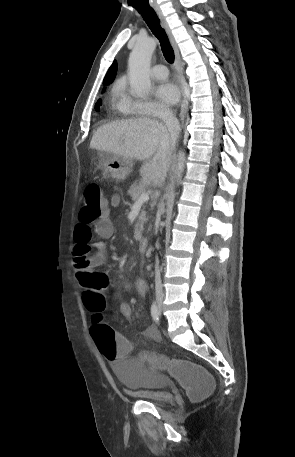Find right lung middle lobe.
I'll use <instances>...</instances> for the list:
<instances>
[{"label": "right lung middle lobe", "instance_id": "obj_1", "mask_svg": "<svg viewBox=\"0 0 295 457\" xmlns=\"http://www.w3.org/2000/svg\"><path fill=\"white\" fill-rule=\"evenodd\" d=\"M100 105H101V100H99L95 105V108H96L97 111H99Z\"/></svg>", "mask_w": 295, "mask_h": 457}]
</instances>
